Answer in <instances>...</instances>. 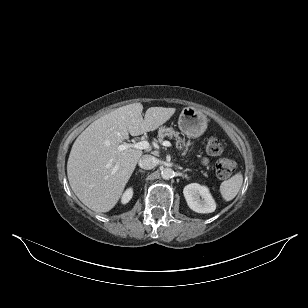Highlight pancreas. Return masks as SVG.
I'll return each mask as SVG.
<instances>
[{"label": "pancreas", "mask_w": 308, "mask_h": 308, "mask_svg": "<svg viewBox=\"0 0 308 308\" xmlns=\"http://www.w3.org/2000/svg\"><path fill=\"white\" fill-rule=\"evenodd\" d=\"M165 137L175 138L176 147L180 150H183V153H182L183 156L186 155L189 143H186L185 139H182L179 136V132L175 131L173 129V127L162 126L158 130V140H159V142H162ZM201 172L204 176H207V174L205 172H203V171H201Z\"/></svg>", "instance_id": "cf45deb5"}]
</instances>
